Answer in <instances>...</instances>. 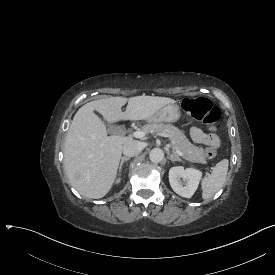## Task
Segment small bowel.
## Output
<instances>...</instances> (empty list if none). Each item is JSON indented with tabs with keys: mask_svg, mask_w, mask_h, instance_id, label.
I'll return each instance as SVG.
<instances>
[{
	"mask_svg": "<svg viewBox=\"0 0 275 275\" xmlns=\"http://www.w3.org/2000/svg\"><path fill=\"white\" fill-rule=\"evenodd\" d=\"M191 137L192 139L199 144L203 145H212V144H219V140L217 136L212 134L206 133L203 129L198 127L191 128Z\"/></svg>",
	"mask_w": 275,
	"mask_h": 275,
	"instance_id": "1",
	"label": "small bowel"
}]
</instances>
